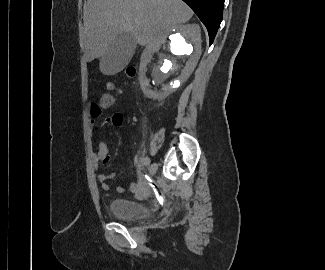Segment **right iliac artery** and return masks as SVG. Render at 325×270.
I'll list each match as a JSON object with an SVG mask.
<instances>
[{
    "label": "right iliac artery",
    "mask_w": 325,
    "mask_h": 270,
    "mask_svg": "<svg viewBox=\"0 0 325 270\" xmlns=\"http://www.w3.org/2000/svg\"><path fill=\"white\" fill-rule=\"evenodd\" d=\"M149 161H150V159L148 157L142 158L141 164L143 166H145V165L149 164Z\"/></svg>",
    "instance_id": "obj_1"
}]
</instances>
